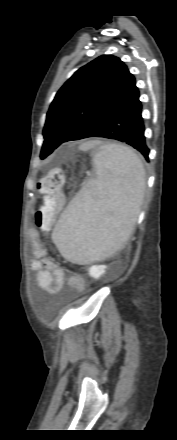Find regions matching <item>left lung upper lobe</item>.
Returning a JSON list of instances; mask_svg holds the SVG:
<instances>
[{
	"mask_svg": "<svg viewBox=\"0 0 177 440\" xmlns=\"http://www.w3.org/2000/svg\"><path fill=\"white\" fill-rule=\"evenodd\" d=\"M134 76L118 57L102 55L78 69L60 88L47 113L40 158L60 144L93 131L137 91ZM76 122L74 127L62 126Z\"/></svg>",
	"mask_w": 177,
	"mask_h": 440,
	"instance_id": "obj_1",
	"label": "left lung upper lobe"
}]
</instances>
